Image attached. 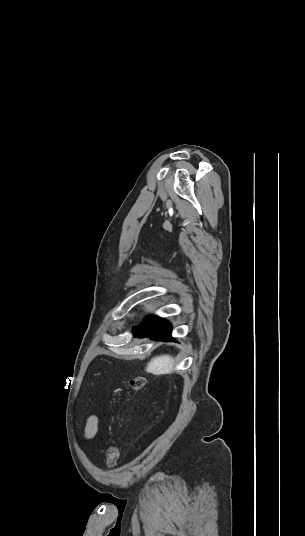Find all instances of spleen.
Returning a JSON list of instances; mask_svg holds the SVG:
<instances>
[{
  "mask_svg": "<svg viewBox=\"0 0 305 536\" xmlns=\"http://www.w3.org/2000/svg\"><path fill=\"white\" fill-rule=\"evenodd\" d=\"M175 366V360L172 356H156L148 362L145 370L148 374H155V376H161V374H172Z\"/></svg>",
  "mask_w": 305,
  "mask_h": 536,
  "instance_id": "1",
  "label": "spleen"
}]
</instances>
